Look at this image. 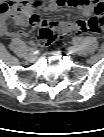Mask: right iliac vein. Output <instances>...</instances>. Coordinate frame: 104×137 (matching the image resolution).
I'll return each mask as SVG.
<instances>
[{"label": "right iliac vein", "instance_id": "63e3f726", "mask_svg": "<svg viewBox=\"0 0 104 137\" xmlns=\"http://www.w3.org/2000/svg\"><path fill=\"white\" fill-rule=\"evenodd\" d=\"M26 60L29 61V62L35 61V55H34L32 52H29V53L26 55Z\"/></svg>", "mask_w": 104, "mask_h": 137}]
</instances>
